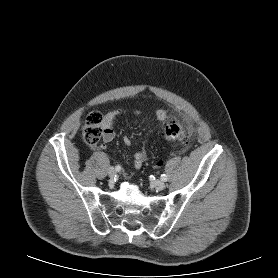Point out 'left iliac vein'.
<instances>
[{
    "label": "left iliac vein",
    "instance_id": "obj_1",
    "mask_svg": "<svg viewBox=\"0 0 278 278\" xmlns=\"http://www.w3.org/2000/svg\"><path fill=\"white\" fill-rule=\"evenodd\" d=\"M153 186L157 190H163L165 188V183L161 180H155L153 181Z\"/></svg>",
    "mask_w": 278,
    "mask_h": 278
}]
</instances>
